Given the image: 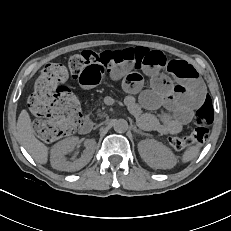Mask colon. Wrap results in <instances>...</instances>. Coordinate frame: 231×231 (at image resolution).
I'll return each instance as SVG.
<instances>
[{
  "instance_id": "5ec220e1",
  "label": "colon",
  "mask_w": 231,
  "mask_h": 231,
  "mask_svg": "<svg viewBox=\"0 0 231 231\" xmlns=\"http://www.w3.org/2000/svg\"><path fill=\"white\" fill-rule=\"evenodd\" d=\"M153 57L156 56L150 50L136 47L103 52L83 51L72 55L67 66L60 63L45 65L29 97L30 110L40 118L35 125L38 138L44 142L55 141L72 134L82 123L78 101L63 85L69 74L78 79L89 66L112 70L127 64L140 68ZM212 119V107L206 102L196 110L193 132L182 137H170L169 144L176 150L202 145L208 138Z\"/></svg>"
}]
</instances>
